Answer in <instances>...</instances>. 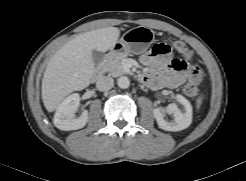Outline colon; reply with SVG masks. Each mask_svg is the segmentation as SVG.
Masks as SVG:
<instances>
[{"instance_id": "1", "label": "colon", "mask_w": 246, "mask_h": 181, "mask_svg": "<svg viewBox=\"0 0 246 181\" xmlns=\"http://www.w3.org/2000/svg\"><path fill=\"white\" fill-rule=\"evenodd\" d=\"M170 48L182 54L185 57H189L191 54L187 45L184 42L179 41V40L172 41L170 44ZM167 50H169V46L165 44H157L153 47V52L155 54H162L166 52ZM189 70H190L189 81L184 86L183 90L186 95L196 98L199 96V93H200L198 84L200 83L202 79V73L199 67L194 66V65L190 66Z\"/></svg>"}]
</instances>
